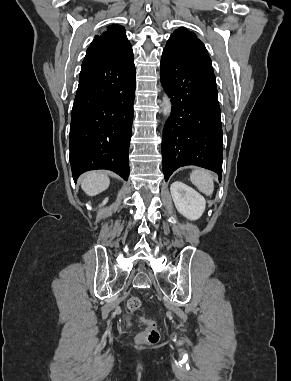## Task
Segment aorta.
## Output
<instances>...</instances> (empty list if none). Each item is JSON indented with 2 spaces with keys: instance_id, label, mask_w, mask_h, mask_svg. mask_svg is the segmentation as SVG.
Returning <instances> with one entry per match:
<instances>
[{
  "instance_id": "obj_1",
  "label": "aorta",
  "mask_w": 291,
  "mask_h": 381,
  "mask_svg": "<svg viewBox=\"0 0 291 381\" xmlns=\"http://www.w3.org/2000/svg\"><path fill=\"white\" fill-rule=\"evenodd\" d=\"M172 104L169 97L164 94L162 98V113L164 117H169L171 113Z\"/></svg>"
}]
</instances>
